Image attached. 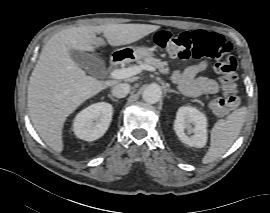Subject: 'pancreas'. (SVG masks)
Listing matches in <instances>:
<instances>
[{"mask_svg":"<svg viewBox=\"0 0 270 213\" xmlns=\"http://www.w3.org/2000/svg\"><path fill=\"white\" fill-rule=\"evenodd\" d=\"M138 64H147L157 68L163 74H169V68L166 62H162L160 59L154 57H148L143 61H137Z\"/></svg>","mask_w":270,"mask_h":213,"instance_id":"cf45deb5","label":"pancreas"}]
</instances>
